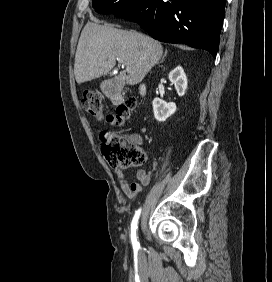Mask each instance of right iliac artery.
I'll return each mask as SVG.
<instances>
[{"label": "right iliac artery", "instance_id": "1", "mask_svg": "<svg viewBox=\"0 0 272 282\" xmlns=\"http://www.w3.org/2000/svg\"><path fill=\"white\" fill-rule=\"evenodd\" d=\"M140 213H141V209L136 211V213L133 217L132 223H131V242H132V245L135 249H138L140 247V244L137 241V234H136L138 219H139Z\"/></svg>", "mask_w": 272, "mask_h": 282}]
</instances>
